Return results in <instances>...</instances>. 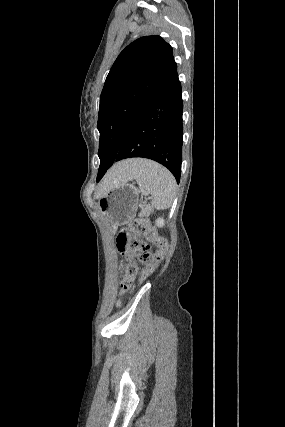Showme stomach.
<instances>
[{"label":"stomach","instance_id":"obj_1","mask_svg":"<svg viewBox=\"0 0 285 427\" xmlns=\"http://www.w3.org/2000/svg\"><path fill=\"white\" fill-rule=\"evenodd\" d=\"M139 192L129 183H121L106 191L98 201L102 216L112 225H123L136 215Z\"/></svg>","mask_w":285,"mask_h":427}]
</instances>
